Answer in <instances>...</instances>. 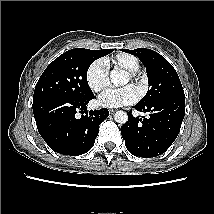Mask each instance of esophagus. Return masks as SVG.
<instances>
[{
  "label": "esophagus",
  "mask_w": 214,
  "mask_h": 214,
  "mask_svg": "<svg viewBox=\"0 0 214 214\" xmlns=\"http://www.w3.org/2000/svg\"><path fill=\"white\" fill-rule=\"evenodd\" d=\"M115 110H110L109 113L110 114H114Z\"/></svg>",
  "instance_id": "34e87169"
}]
</instances>
